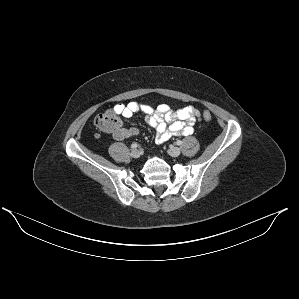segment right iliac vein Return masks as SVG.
<instances>
[{
  "label": "right iliac vein",
  "mask_w": 299,
  "mask_h": 299,
  "mask_svg": "<svg viewBox=\"0 0 299 299\" xmlns=\"http://www.w3.org/2000/svg\"><path fill=\"white\" fill-rule=\"evenodd\" d=\"M131 156L135 159L139 158L140 157V151L138 149H133L131 151Z\"/></svg>",
  "instance_id": "right-iliac-vein-1"
}]
</instances>
